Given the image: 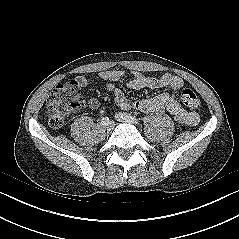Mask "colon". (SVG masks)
<instances>
[{"mask_svg":"<svg viewBox=\"0 0 239 239\" xmlns=\"http://www.w3.org/2000/svg\"><path fill=\"white\" fill-rule=\"evenodd\" d=\"M182 103L190 109H196L200 100L191 88L181 91ZM80 107V86L75 81L58 85L49 95L46 102V115L49 126L53 129L61 128L69 115Z\"/></svg>","mask_w":239,"mask_h":239,"instance_id":"colon-1","label":"colon"}]
</instances>
